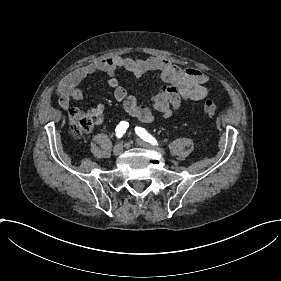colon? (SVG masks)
Masks as SVG:
<instances>
[{
	"label": "colon",
	"instance_id": "colon-1",
	"mask_svg": "<svg viewBox=\"0 0 281 281\" xmlns=\"http://www.w3.org/2000/svg\"><path fill=\"white\" fill-rule=\"evenodd\" d=\"M200 110L202 114L212 116L217 114L219 105L214 101L206 100L201 104ZM75 127L80 133H87L92 128V122L87 116L77 115L75 117Z\"/></svg>",
	"mask_w": 281,
	"mask_h": 281
}]
</instances>
